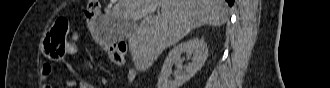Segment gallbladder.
<instances>
[{"instance_id":"obj_1","label":"gallbladder","mask_w":330,"mask_h":88,"mask_svg":"<svg viewBox=\"0 0 330 88\" xmlns=\"http://www.w3.org/2000/svg\"><path fill=\"white\" fill-rule=\"evenodd\" d=\"M136 27L137 25L134 22L104 20L102 23V38L107 43H117L127 39Z\"/></svg>"}]
</instances>
